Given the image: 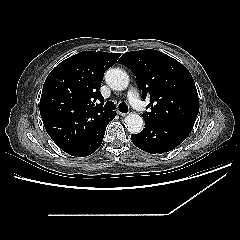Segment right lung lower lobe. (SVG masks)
<instances>
[{"label":"right lung lower lobe","mask_w":240,"mask_h":240,"mask_svg":"<svg viewBox=\"0 0 240 240\" xmlns=\"http://www.w3.org/2000/svg\"><path fill=\"white\" fill-rule=\"evenodd\" d=\"M116 116V112H110L109 115L107 116L106 120L104 123L101 125V127L98 129L97 133L95 136L90 139L89 141L81 144L80 146L66 150L65 152L70 154L71 156L75 157H85L93 152H95L101 145L103 141V137L105 134V129L108 123L113 120Z\"/></svg>","instance_id":"1"}]
</instances>
